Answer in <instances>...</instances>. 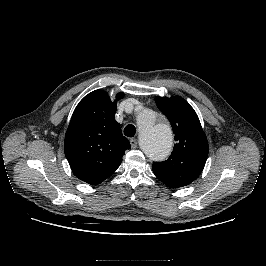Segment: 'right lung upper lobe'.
I'll return each instance as SVG.
<instances>
[{"instance_id":"right-lung-upper-lobe-1","label":"right lung upper lobe","mask_w":266,"mask_h":266,"mask_svg":"<svg viewBox=\"0 0 266 266\" xmlns=\"http://www.w3.org/2000/svg\"><path fill=\"white\" fill-rule=\"evenodd\" d=\"M124 93L116 96L117 100ZM116 102L95 90L75 108L65 135L64 152L77 178L96 185L108 178L121 164L130 143L115 121Z\"/></svg>"}]
</instances>
